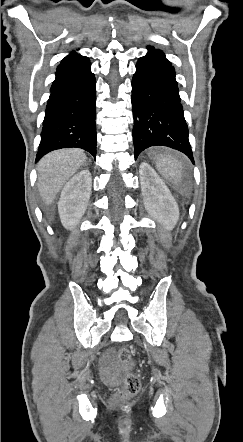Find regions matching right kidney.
<instances>
[{
    "label": "right kidney",
    "mask_w": 243,
    "mask_h": 442,
    "mask_svg": "<svg viewBox=\"0 0 243 442\" xmlns=\"http://www.w3.org/2000/svg\"><path fill=\"white\" fill-rule=\"evenodd\" d=\"M92 178L85 169L74 175L64 186L58 202L62 225L71 230L86 211L91 195Z\"/></svg>",
    "instance_id": "1"
}]
</instances>
